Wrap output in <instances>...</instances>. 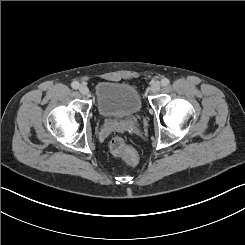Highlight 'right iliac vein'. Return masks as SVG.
<instances>
[{
	"instance_id": "1",
	"label": "right iliac vein",
	"mask_w": 245,
	"mask_h": 245,
	"mask_svg": "<svg viewBox=\"0 0 245 245\" xmlns=\"http://www.w3.org/2000/svg\"><path fill=\"white\" fill-rule=\"evenodd\" d=\"M79 92L82 94V95H87L88 92H89V89L86 85H81L79 87Z\"/></svg>"
}]
</instances>
